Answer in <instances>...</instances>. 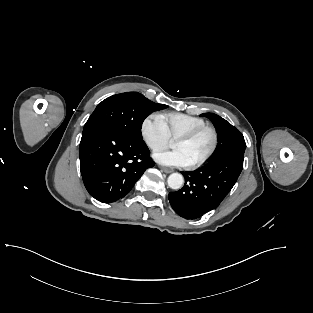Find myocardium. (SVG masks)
<instances>
[{
  "mask_svg": "<svg viewBox=\"0 0 313 313\" xmlns=\"http://www.w3.org/2000/svg\"><path fill=\"white\" fill-rule=\"evenodd\" d=\"M205 131H209L212 134V137H213L212 147L204 157L191 163L189 165L191 168H198V167L203 166L214 156L219 145V134H218L217 129L212 125L205 124L189 132L181 134L180 136L175 138V141H191L192 139H194L195 137H197L198 135H200L201 133Z\"/></svg>",
  "mask_w": 313,
  "mask_h": 313,
  "instance_id": "1",
  "label": "myocardium"
}]
</instances>
